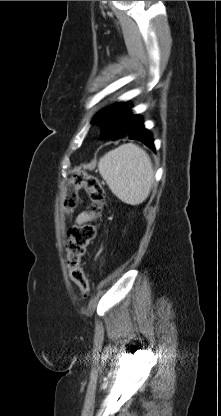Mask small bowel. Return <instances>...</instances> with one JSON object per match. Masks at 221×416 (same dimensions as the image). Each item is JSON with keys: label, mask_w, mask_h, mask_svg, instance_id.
I'll list each match as a JSON object with an SVG mask.
<instances>
[{"label": "small bowel", "mask_w": 221, "mask_h": 416, "mask_svg": "<svg viewBox=\"0 0 221 416\" xmlns=\"http://www.w3.org/2000/svg\"><path fill=\"white\" fill-rule=\"evenodd\" d=\"M94 218V215L90 212H82L78 214L75 220V225H80L86 222L91 221Z\"/></svg>", "instance_id": "obj_1"}]
</instances>
